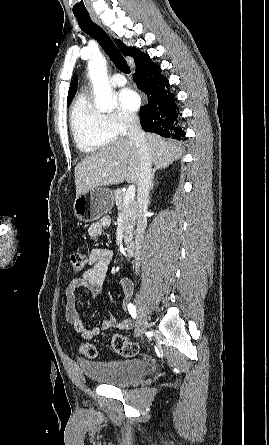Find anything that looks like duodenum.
<instances>
[{"label":"duodenum","instance_id":"duodenum-1","mask_svg":"<svg viewBox=\"0 0 269 445\" xmlns=\"http://www.w3.org/2000/svg\"><path fill=\"white\" fill-rule=\"evenodd\" d=\"M135 242L130 240L126 243L125 250L129 256H132L135 253Z\"/></svg>","mask_w":269,"mask_h":445}]
</instances>
